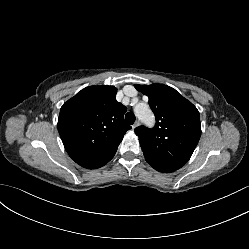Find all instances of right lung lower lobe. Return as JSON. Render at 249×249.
Instances as JSON below:
<instances>
[{"label":"right lung lower lobe","mask_w":249,"mask_h":249,"mask_svg":"<svg viewBox=\"0 0 249 249\" xmlns=\"http://www.w3.org/2000/svg\"><path fill=\"white\" fill-rule=\"evenodd\" d=\"M115 153L116 152L111 153L109 155H106L104 157H101L99 159L83 162V163H80L79 165H81L85 168H90V169L99 168V167H102L103 165H105L108 161H110L113 158V156L115 155Z\"/></svg>","instance_id":"98d812e1"}]
</instances>
